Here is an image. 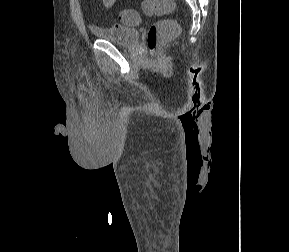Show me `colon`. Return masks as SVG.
<instances>
[{
  "label": "colon",
  "mask_w": 289,
  "mask_h": 252,
  "mask_svg": "<svg viewBox=\"0 0 289 252\" xmlns=\"http://www.w3.org/2000/svg\"><path fill=\"white\" fill-rule=\"evenodd\" d=\"M143 11L148 15H165L174 9L173 0H144ZM120 19L128 25H136L140 22L139 14L131 9L123 8L120 11ZM179 31V25L174 19H163L153 23L147 32V46L151 54L158 48L174 38Z\"/></svg>",
  "instance_id": "5ec220e1"
}]
</instances>
